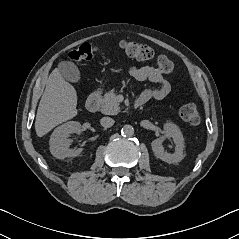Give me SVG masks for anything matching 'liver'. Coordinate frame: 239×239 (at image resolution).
<instances>
[{"label": "liver", "instance_id": "obj_1", "mask_svg": "<svg viewBox=\"0 0 239 239\" xmlns=\"http://www.w3.org/2000/svg\"><path fill=\"white\" fill-rule=\"evenodd\" d=\"M76 106L75 88L65 81L59 69H54L48 77L37 109L35 119L37 136L42 137L57 125L75 117Z\"/></svg>", "mask_w": 239, "mask_h": 239}]
</instances>
